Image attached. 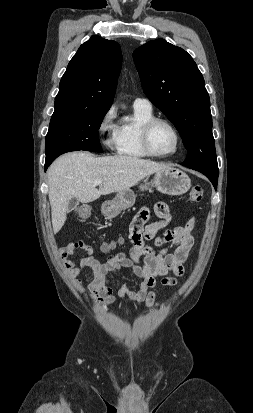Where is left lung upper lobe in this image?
<instances>
[{
  "label": "left lung upper lobe",
  "mask_w": 253,
  "mask_h": 413,
  "mask_svg": "<svg viewBox=\"0 0 253 413\" xmlns=\"http://www.w3.org/2000/svg\"><path fill=\"white\" fill-rule=\"evenodd\" d=\"M144 93L173 122L188 151L182 165L218 173L210 99L201 72L182 48L163 39L133 52Z\"/></svg>",
  "instance_id": "1"
}]
</instances>
